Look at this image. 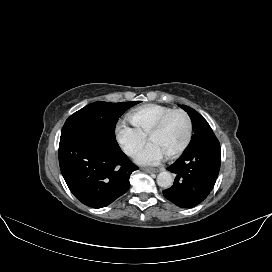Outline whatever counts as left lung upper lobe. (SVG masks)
Segmentation results:
<instances>
[{"mask_svg":"<svg viewBox=\"0 0 272 272\" xmlns=\"http://www.w3.org/2000/svg\"><path fill=\"white\" fill-rule=\"evenodd\" d=\"M180 107L189 114L194 131L191 142L187 149L216 138L208 122L197 111L186 105H180Z\"/></svg>","mask_w":272,"mask_h":272,"instance_id":"1","label":"left lung upper lobe"}]
</instances>
